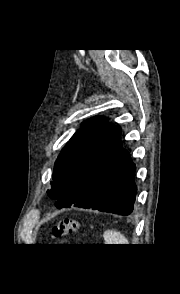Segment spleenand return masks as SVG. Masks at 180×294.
<instances>
[{"mask_svg": "<svg viewBox=\"0 0 180 294\" xmlns=\"http://www.w3.org/2000/svg\"><path fill=\"white\" fill-rule=\"evenodd\" d=\"M104 240L106 244H129L127 238L123 234L114 230L105 231Z\"/></svg>", "mask_w": 180, "mask_h": 294, "instance_id": "3e777b00", "label": "spleen"}]
</instances>
